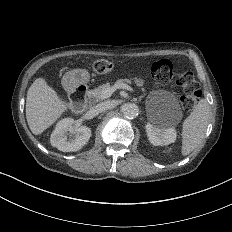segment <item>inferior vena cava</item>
<instances>
[{"instance_id": "obj_1", "label": "inferior vena cava", "mask_w": 232, "mask_h": 232, "mask_svg": "<svg viewBox=\"0 0 232 232\" xmlns=\"http://www.w3.org/2000/svg\"><path fill=\"white\" fill-rule=\"evenodd\" d=\"M115 106H116L115 102L106 101V102H102V103L98 104L95 109L97 112L100 113V112H104L106 110L113 109Z\"/></svg>"}]
</instances>
